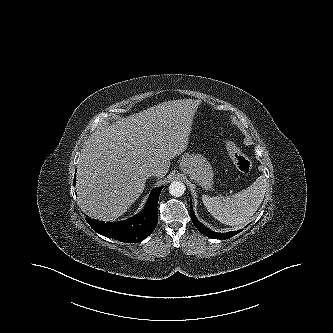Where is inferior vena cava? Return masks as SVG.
Returning <instances> with one entry per match:
<instances>
[{"label":"inferior vena cava","mask_w":333,"mask_h":333,"mask_svg":"<svg viewBox=\"0 0 333 333\" xmlns=\"http://www.w3.org/2000/svg\"><path fill=\"white\" fill-rule=\"evenodd\" d=\"M159 174H160V171L157 168H152L148 172L149 176H158Z\"/></svg>","instance_id":"inferior-vena-cava-1"}]
</instances>
